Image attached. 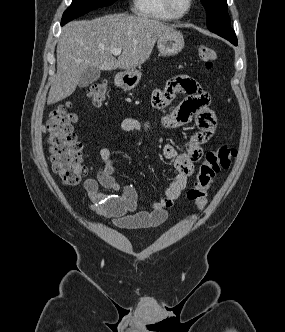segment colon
<instances>
[{
	"instance_id": "colon-1",
	"label": "colon",
	"mask_w": 285,
	"mask_h": 332,
	"mask_svg": "<svg viewBox=\"0 0 285 332\" xmlns=\"http://www.w3.org/2000/svg\"><path fill=\"white\" fill-rule=\"evenodd\" d=\"M197 57L208 70L218 59L216 51L207 45L198 46ZM108 89L109 85L106 81H97L89 86L86 96L93 106H99ZM75 120L76 114L71 111V104H65L54 109L45 123L46 143L53 170L66 185H75L86 175V167L82 158L84 145L74 132ZM236 155L237 150L226 145L218 146L206 153L194 184L187 191L188 199L197 208L202 209L206 206L214 177L220 171L230 168Z\"/></svg>"
}]
</instances>
